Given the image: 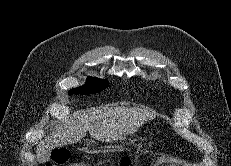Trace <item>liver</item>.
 Returning a JSON list of instances; mask_svg holds the SVG:
<instances>
[{
  "label": "liver",
  "instance_id": "obj_1",
  "mask_svg": "<svg viewBox=\"0 0 231 166\" xmlns=\"http://www.w3.org/2000/svg\"><path fill=\"white\" fill-rule=\"evenodd\" d=\"M155 116L149 109L124 106L76 112L68 122L39 142L36 150L38 162L48 161L53 148L76 143L83 139L87 132L98 141L121 140L123 136L134 133Z\"/></svg>",
  "mask_w": 231,
  "mask_h": 166
}]
</instances>
